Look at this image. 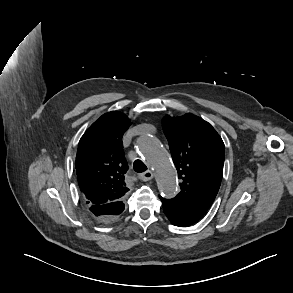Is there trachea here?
<instances>
[{"mask_svg":"<svg viewBox=\"0 0 293 293\" xmlns=\"http://www.w3.org/2000/svg\"><path fill=\"white\" fill-rule=\"evenodd\" d=\"M133 168L137 173H141L147 170L146 165L139 159L134 161Z\"/></svg>","mask_w":293,"mask_h":293,"instance_id":"obj_1","label":"trachea"}]
</instances>
